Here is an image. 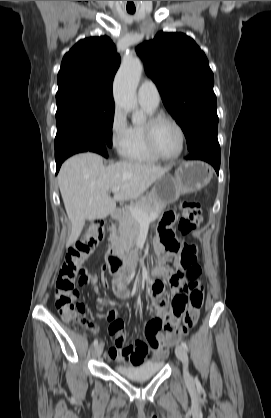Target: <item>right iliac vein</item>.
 <instances>
[{
  "instance_id": "right-iliac-vein-1",
  "label": "right iliac vein",
  "mask_w": 271,
  "mask_h": 418,
  "mask_svg": "<svg viewBox=\"0 0 271 418\" xmlns=\"http://www.w3.org/2000/svg\"><path fill=\"white\" fill-rule=\"evenodd\" d=\"M94 352H95L96 357H100L102 352H103V344L100 343V344L96 345Z\"/></svg>"
}]
</instances>
